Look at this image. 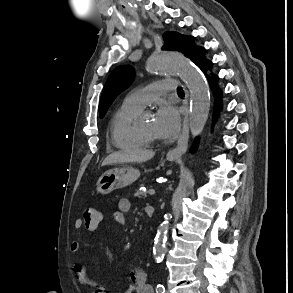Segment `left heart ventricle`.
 <instances>
[{"label": "left heart ventricle", "mask_w": 293, "mask_h": 293, "mask_svg": "<svg viewBox=\"0 0 293 293\" xmlns=\"http://www.w3.org/2000/svg\"><path fill=\"white\" fill-rule=\"evenodd\" d=\"M154 123H155L154 119L147 120L140 127V130L143 131L144 133L156 138L158 135L156 133Z\"/></svg>", "instance_id": "left-heart-ventricle-1"}]
</instances>
